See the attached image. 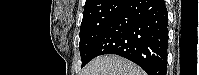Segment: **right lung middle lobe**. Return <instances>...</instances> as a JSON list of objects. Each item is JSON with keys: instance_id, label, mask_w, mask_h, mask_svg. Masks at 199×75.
Segmentation results:
<instances>
[{"instance_id": "obj_1", "label": "right lung middle lobe", "mask_w": 199, "mask_h": 75, "mask_svg": "<svg viewBox=\"0 0 199 75\" xmlns=\"http://www.w3.org/2000/svg\"><path fill=\"white\" fill-rule=\"evenodd\" d=\"M128 0H106L102 5L84 9L80 27L79 50L82 66L92 59V50Z\"/></svg>"}]
</instances>
